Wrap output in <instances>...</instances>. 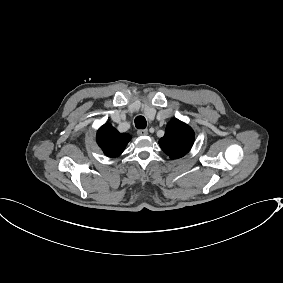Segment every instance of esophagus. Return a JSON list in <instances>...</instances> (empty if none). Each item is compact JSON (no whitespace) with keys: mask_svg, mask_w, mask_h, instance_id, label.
I'll return each instance as SVG.
<instances>
[{"mask_svg":"<svg viewBox=\"0 0 283 283\" xmlns=\"http://www.w3.org/2000/svg\"><path fill=\"white\" fill-rule=\"evenodd\" d=\"M148 134V130L146 129H139L137 131V135L143 136V135H147Z\"/></svg>","mask_w":283,"mask_h":283,"instance_id":"1","label":"esophagus"}]
</instances>
